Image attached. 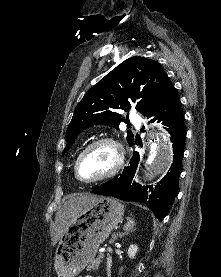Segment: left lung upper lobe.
<instances>
[{
    "mask_svg": "<svg viewBox=\"0 0 221 277\" xmlns=\"http://www.w3.org/2000/svg\"><path fill=\"white\" fill-rule=\"evenodd\" d=\"M174 89L158 62L140 56L123 61L92 87L75 108L63 154L87 127L104 124L118 129L120 122L125 121L117 112L119 109L128 111L135 106L137 111L151 117ZM127 134L132 145L133 133Z\"/></svg>",
    "mask_w": 221,
    "mask_h": 277,
    "instance_id": "obj_1",
    "label": "left lung upper lobe"
}]
</instances>
